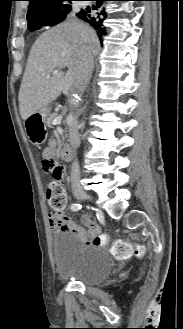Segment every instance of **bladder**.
<instances>
[{
  "label": "bladder",
  "mask_w": 183,
  "mask_h": 329,
  "mask_svg": "<svg viewBox=\"0 0 183 329\" xmlns=\"http://www.w3.org/2000/svg\"><path fill=\"white\" fill-rule=\"evenodd\" d=\"M51 248L56 271L62 279L90 286L99 285L113 270V260L104 248L84 245L72 232H58Z\"/></svg>",
  "instance_id": "1"
}]
</instances>
